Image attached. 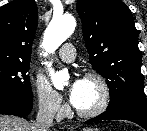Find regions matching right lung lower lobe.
Listing matches in <instances>:
<instances>
[{
  "label": "right lung lower lobe",
  "instance_id": "obj_1",
  "mask_svg": "<svg viewBox=\"0 0 147 131\" xmlns=\"http://www.w3.org/2000/svg\"><path fill=\"white\" fill-rule=\"evenodd\" d=\"M33 100L0 95V114L24 117L32 110Z\"/></svg>",
  "mask_w": 147,
  "mask_h": 131
}]
</instances>
